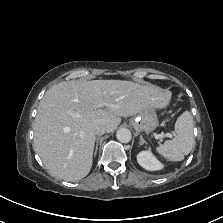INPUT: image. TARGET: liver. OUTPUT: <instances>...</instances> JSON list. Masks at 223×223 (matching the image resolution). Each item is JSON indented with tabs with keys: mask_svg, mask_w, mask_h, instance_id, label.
<instances>
[{
	"mask_svg": "<svg viewBox=\"0 0 223 223\" xmlns=\"http://www.w3.org/2000/svg\"><path fill=\"white\" fill-rule=\"evenodd\" d=\"M171 96L168 90L130 81L61 82L48 89L39 103L33 123L34 151L53 177L76 182L92 167L95 125H104L111 133L121 117L149 107L165 108Z\"/></svg>",
	"mask_w": 223,
	"mask_h": 223,
	"instance_id": "obj_1",
	"label": "liver"
}]
</instances>
